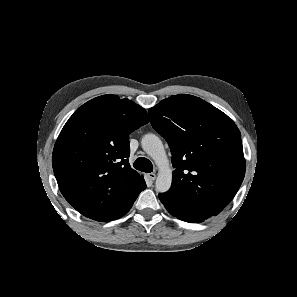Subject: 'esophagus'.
<instances>
[{
	"label": "esophagus",
	"mask_w": 297,
	"mask_h": 297,
	"mask_svg": "<svg viewBox=\"0 0 297 297\" xmlns=\"http://www.w3.org/2000/svg\"><path fill=\"white\" fill-rule=\"evenodd\" d=\"M148 178L151 180V181H154L156 179V174L155 173H149L147 174Z\"/></svg>",
	"instance_id": "esophagus-1"
}]
</instances>
